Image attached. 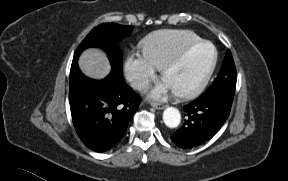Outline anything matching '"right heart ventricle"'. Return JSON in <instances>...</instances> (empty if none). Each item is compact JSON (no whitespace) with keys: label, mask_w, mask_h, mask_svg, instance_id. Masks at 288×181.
I'll return each instance as SVG.
<instances>
[{"label":"right heart ventricle","mask_w":288,"mask_h":181,"mask_svg":"<svg viewBox=\"0 0 288 181\" xmlns=\"http://www.w3.org/2000/svg\"><path fill=\"white\" fill-rule=\"evenodd\" d=\"M203 40L191 30H163L150 35L142 43L144 55L160 69L183 48Z\"/></svg>","instance_id":"1"}]
</instances>
